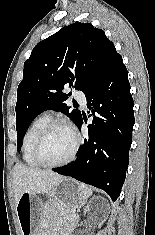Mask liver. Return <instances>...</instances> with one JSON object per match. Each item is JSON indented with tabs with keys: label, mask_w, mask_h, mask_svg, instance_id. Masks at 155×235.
<instances>
[{
	"label": "liver",
	"mask_w": 155,
	"mask_h": 235,
	"mask_svg": "<svg viewBox=\"0 0 155 235\" xmlns=\"http://www.w3.org/2000/svg\"><path fill=\"white\" fill-rule=\"evenodd\" d=\"M63 176L50 170H40L17 163L13 169V190L17 205L24 193H49Z\"/></svg>",
	"instance_id": "6515ba94"
}]
</instances>
